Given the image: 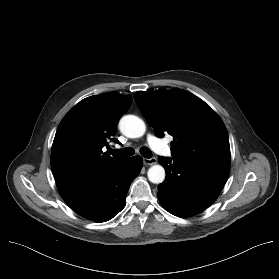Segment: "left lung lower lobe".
I'll return each mask as SVG.
<instances>
[{"label": "left lung lower lobe", "instance_id": "1", "mask_svg": "<svg viewBox=\"0 0 279 279\" xmlns=\"http://www.w3.org/2000/svg\"><path fill=\"white\" fill-rule=\"evenodd\" d=\"M166 178L158 186L162 205L173 215L189 217L202 212L219 195L230 167L159 157Z\"/></svg>", "mask_w": 279, "mask_h": 279}]
</instances>
